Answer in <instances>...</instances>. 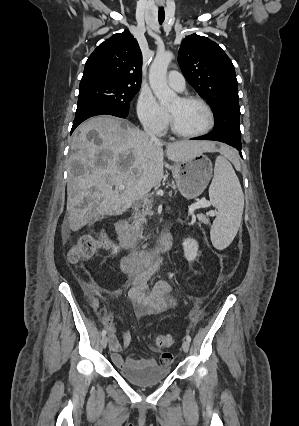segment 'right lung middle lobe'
<instances>
[{
	"label": "right lung middle lobe",
	"instance_id": "dd1d6c3e",
	"mask_svg": "<svg viewBox=\"0 0 299 426\" xmlns=\"http://www.w3.org/2000/svg\"><path fill=\"white\" fill-rule=\"evenodd\" d=\"M139 89L140 87L104 82L80 85L77 106L91 102L101 103L128 114L129 103Z\"/></svg>",
	"mask_w": 299,
	"mask_h": 426
}]
</instances>
